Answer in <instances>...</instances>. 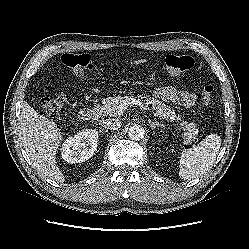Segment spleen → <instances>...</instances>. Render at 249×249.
Returning a JSON list of instances; mask_svg holds the SVG:
<instances>
[{"label":"spleen","mask_w":249,"mask_h":249,"mask_svg":"<svg viewBox=\"0 0 249 249\" xmlns=\"http://www.w3.org/2000/svg\"><path fill=\"white\" fill-rule=\"evenodd\" d=\"M220 145V136L210 134L194 149L183 150L180 157V177L190 180L203 175L215 161Z\"/></svg>","instance_id":"spleen-1"}]
</instances>
